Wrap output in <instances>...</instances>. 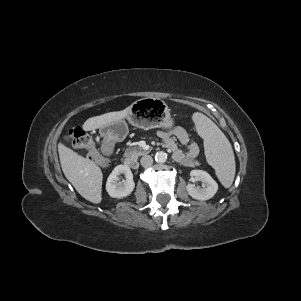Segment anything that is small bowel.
<instances>
[{"label": "small bowel", "instance_id": "small-bowel-1", "mask_svg": "<svg viewBox=\"0 0 301 301\" xmlns=\"http://www.w3.org/2000/svg\"><path fill=\"white\" fill-rule=\"evenodd\" d=\"M158 133L177 162L189 164L198 156L199 147L195 142L190 141L189 135L184 128L175 126L169 130H160ZM171 136H174L186 150L183 151Z\"/></svg>", "mask_w": 301, "mask_h": 301}]
</instances>
